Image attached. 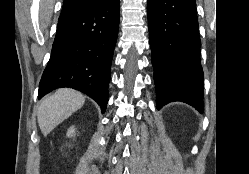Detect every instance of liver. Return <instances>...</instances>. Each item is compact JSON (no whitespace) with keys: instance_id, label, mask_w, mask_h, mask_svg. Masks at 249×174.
<instances>
[{"instance_id":"obj_1","label":"liver","mask_w":249,"mask_h":174,"mask_svg":"<svg viewBox=\"0 0 249 174\" xmlns=\"http://www.w3.org/2000/svg\"><path fill=\"white\" fill-rule=\"evenodd\" d=\"M85 97L78 91L69 88L58 89L46 96L38 107V124L44 136H47L61 122L80 109Z\"/></svg>"}]
</instances>
